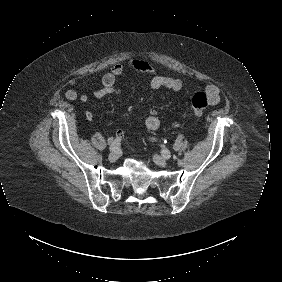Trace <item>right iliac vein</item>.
I'll use <instances>...</instances> for the list:
<instances>
[{"label": "right iliac vein", "instance_id": "obj_1", "mask_svg": "<svg viewBox=\"0 0 282 282\" xmlns=\"http://www.w3.org/2000/svg\"><path fill=\"white\" fill-rule=\"evenodd\" d=\"M108 159L110 162H115L118 159V154L116 152H111Z\"/></svg>", "mask_w": 282, "mask_h": 282}]
</instances>
